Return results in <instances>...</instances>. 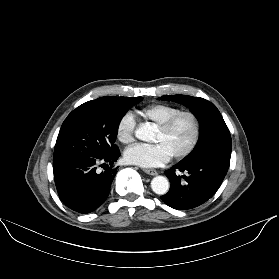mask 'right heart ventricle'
Instances as JSON below:
<instances>
[{"instance_id": "right-heart-ventricle-1", "label": "right heart ventricle", "mask_w": 279, "mask_h": 279, "mask_svg": "<svg viewBox=\"0 0 279 279\" xmlns=\"http://www.w3.org/2000/svg\"><path fill=\"white\" fill-rule=\"evenodd\" d=\"M179 111H181V109L176 106L165 103H155L141 108L138 113L149 123L160 126Z\"/></svg>"}]
</instances>
